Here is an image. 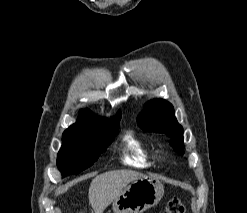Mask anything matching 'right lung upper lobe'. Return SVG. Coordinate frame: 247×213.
I'll return each mask as SVG.
<instances>
[{
    "mask_svg": "<svg viewBox=\"0 0 247 213\" xmlns=\"http://www.w3.org/2000/svg\"><path fill=\"white\" fill-rule=\"evenodd\" d=\"M120 114L107 120L106 118L96 117L92 112L85 109L77 122L71 125L63 135H86L99 131L101 128L113 126L120 122Z\"/></svg>",
    "mask_w": 247,
    "mask_h": 213,
    "instance_id": "cb5924a9",
    "label": "right lung upper lobe"
}]
</instances>
